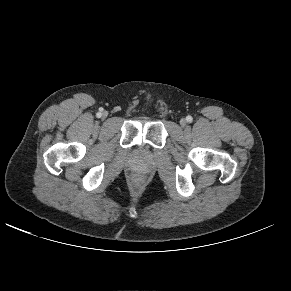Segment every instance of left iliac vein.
Wrapping results in <instances>:
<instances>
[{"instance_id":"obj_1","label":"left iliac vein","mask_w":291,"mask_h":291,"mask_svg":"<svg viewBox=\"0 0 291 291\" xmlns=\"http://www.w3.org/2000/svg\"><path fill=\"white\" fill-rule=\"evenodd\" d=\"M186 120L185 119H181L180 120V124H181V126H183V127H185L186 126Z\"/></svg>"}]
</instances>
